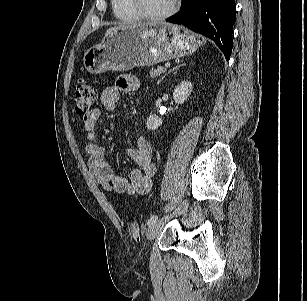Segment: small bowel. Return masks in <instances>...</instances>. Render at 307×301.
<instances>
[{
  "mask_svg": "<svg viewBox=\"0 0 307 301\" xmlns=\"http://www.w3.org/2000/svg\"><path fill=\"white\" fill-rule=\"evenodd\" d=\"M139 88L140 82L135 76L123 75L117 79L116 85L104 88L100 101L104 109L111 111L115 109L121 92H133ZM100 116L101 110L98 108L83 116L87 137L88 168L92 177L109 192L119 194L148 193L156 171L152 159V144L145 137H139L135 147L127 149L128 156L138 168L131 170L127 178L117 175L112 165L106 160L105 148L96 137L95 128Z\"/></svg>",
  "mask_w": 307,
  "mask_h": 301,
  "instance_id": "1",
  "label": "small bowel"
}]
</instances>
